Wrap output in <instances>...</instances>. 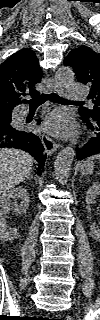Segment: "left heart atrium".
<instances>
[{"mask_svg":"<svg viewBox=\"0 0 100 320\" xmlns=\"http://www.w3.org/2000/svg\"><path fill=\"white\" fill-rule=\"evenodd\" d=\"M42 128L52 135L70 138L76 132V127L70 116L62 110L52 112L44 121Z\"/></svg>","mask_w":100,"mask_h":320,"instance_id":"left-heart-atrium-1","label":"left heart atrium"}]
</instances>
